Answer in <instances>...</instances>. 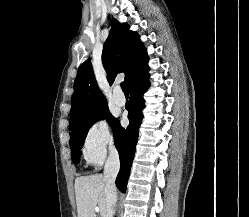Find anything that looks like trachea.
Listing matches in <instances>:
<instances>
[{
	"label": "trachea",
	"mask_w": 249,
	"mask_h": 217,
	"mask_svg": "<svg viewBox=\"0 0 249 217\" xmlns=\"http://www.w3.org/2000/svg\"><path fill=\"white\" fill-rule=\"evenodd\" d=\"M121 88H122L124 94H129L128 86H127V83L125 81L121 83Z\"/></svg>",
	"instance_id": "obj_1"
}]
</instances>
